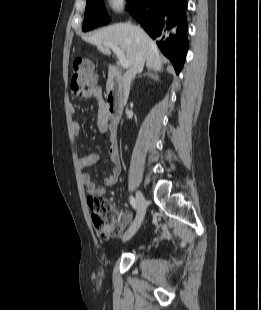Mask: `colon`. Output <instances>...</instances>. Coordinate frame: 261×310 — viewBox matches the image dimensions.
Masks as SVG:
<instances>
[{"instance_id": "1", "label": "colon", "mask_w": 261, "mask_h": 310, "mask_svg": "<svg viewBox=\"0 0 261 310\" xmlns=\"http://www.w3.org/2000/svg\"><path fill=\"white\" fill-rule=\"evenodd\" d=\"M97 83V74L91 62L86 58H77L72 64L71 89L81 92L93 88ZM87 203L91 211L93 225L104 238L117 236L129 221L128 216L118 220L110 215L111 204L101 195H90Z\"/></svg>"}]
</instances>
